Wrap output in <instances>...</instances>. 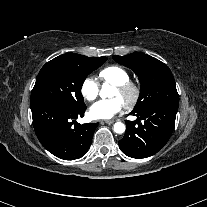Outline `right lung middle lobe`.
I'll return each instance as SVG.
<instances>
[{"label":"right lung middle lobe","instance_id":"1","mask_svg":"<svg viewBox=\"0 0 207 207\" xmlns=\"http://www.w3.org/2000/svg\"><path fill=\"white\" fill-rule=\"evenodd\" d=\"M106 60V57L90 58L75 53L52 59L42 67L37 76L31 102L50 99L72 108L85 106L80 92L83 82Z\"/></svg>","mask_w":207,"mask_h":207}]
</instances>
